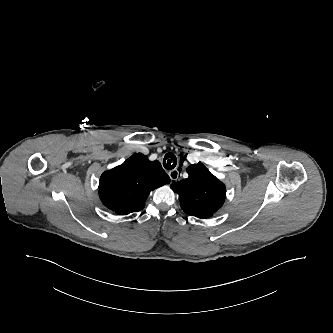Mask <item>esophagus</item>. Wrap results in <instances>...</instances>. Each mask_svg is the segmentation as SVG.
Returning a JSON list of instances; mask_svg holds the SVG:
<instances>
[{
	"label": "esophagus",
	"instance_id": "1",
	"mask_svg": "<svg viewBox=\"0 0 333 333\" xmlns=\"http://www.w3.org/2000/svg\"><path fill=\"white\" fill-rule=\"evenodd\" d=\"M169 177L172 182H177L181 178V173L179 172V168L173 169L169 172Z\"/></svg>",
	"mask_w": 333,
	"mask_h": 333
}]
</instances>
